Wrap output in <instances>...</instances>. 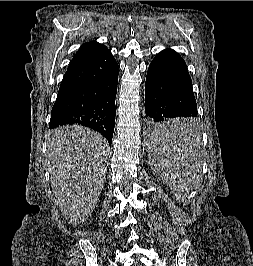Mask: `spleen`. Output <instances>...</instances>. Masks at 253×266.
<instances>
[{
  "label": "spleen",
  "mask_w": 253,
  "mask_h": 266,
  "mask_svg": "<svg viewBox=\"0 0 253 266\" xmlns=\"http://www.w3.org/2000/svg\"><path fill=\"white\" fill-rule=\"evenodd\" d=\"M149 154L156 174L184 199L199 184V166L196 165L193 141V123L186 117H166L165 123H150Z\"/></svg>",
  "instance_id": "obj_1"
}]
</instances>
